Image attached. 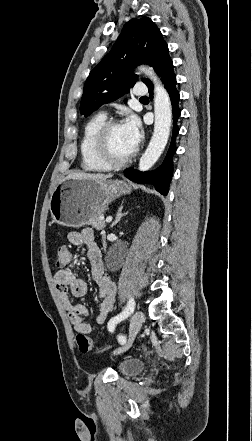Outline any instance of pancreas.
Segmentation results:
<instances>
[{"mask_svg": "<svg viewBox=\"0 0 252 441\" xmlns=\"http://www.w3.org/2000/svg\"><path fill=\"white\" fill-rule=\"evenodd\" d=\"M88 224L97 230H102L106 227L105 221L100 216H94L89 221Z\"/></svg>", "mask_w": 252, "mask_h": 441, "instance_id": "cf45deb5", "label": "pancreas"}]
</instances>
